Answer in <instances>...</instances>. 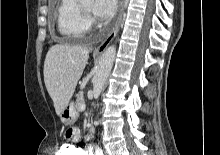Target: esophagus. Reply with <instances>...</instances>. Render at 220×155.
<instances>
[{"label":"esophagus","instance_id":"34e87169","mask_svg":"<svg viewBox=\"0 0 220 155\" xmlns=\"http://www.w3.org/2000/svg\"><path fill=\"white\" fill-rule=\"evenodd\" d=\"M124 6H125V0H121L120 1V11H119V15H118L117 21L115 23V26L112 29V31L108 34L106 39L97 48H95V50H94L95 53H100V52L104 51L109 46V44L113 41L115 36L117 35L118 30H119V26H120V23L122 20L123 12H124Z\"/></svg>","mask_w":220,"mask_h":155}]
</instances>
